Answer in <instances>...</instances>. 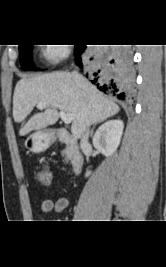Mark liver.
I'll list each match as a JSON object with an SVG mask.
<instances>
[{
  "label": "liver",
  "mask_w": 166,
  "mask_h": 267,
  "mask_svg": "<svg viewBox=\"0 0 166 267\" xmlns=\"http://www.w3.org/2000/svg\"><path fill=\"white\" fill-rule=\"evenodd\" d=\"M39 102L46 103L45 111L30 118L20 130L21 136L55 124L59 119V109L73 115L71 132L80 138L89 125L101 122L120 110L86 79L78 83L71 73L63 71L18 81L13 95L14 121L20 123L25 120Z\"/></svg>",
  "instance_id": "obj_1"
}]
</instances>
